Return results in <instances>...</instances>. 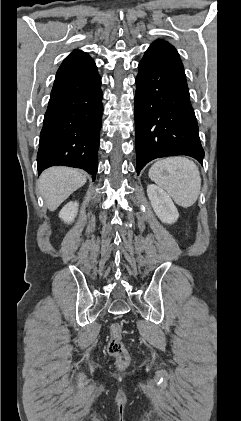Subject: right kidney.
Returning a JSON list of instances; mask_svg holds the SVG:
<instances>
[{
	"mask_svg": "<svg viewBox=\"0 0 241 421\" xmlns=\"http://www.w3.org/2000/svg\"><path fill=\"white\" fill-rule=\"evenodd\" d=\"M78 203L69 202L67 203L60 211L59 217L66 223H71L74 221L77 212H78Z\"/></svg>",
	"mask_w": 241,
	"mask_h": 421,
	"instance_id": "right-kidney-1",
	"label": "right kidney"
}]
</instances>
